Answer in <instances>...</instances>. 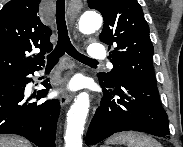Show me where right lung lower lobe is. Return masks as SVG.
Returning <instances> with one entry per match:
<instances>
[{
  "mask_svg": "<svg viewBox=\"0 0 183 147\" xmlns=\"http://www.w3.org/2000/svg\"><path fill=\"white\" fill-rule=\"evenodd\" d=\"M41 67L23 71L0 79V134H17L27 138L38 147H55L56 124L60 112L58 100L30 102L24 95L25 86L32 81L28 77ZM37 92V99L48 93Z\"/></svg>",
  "mask_w": 183,
  "mask_h": 147,
  "instance_id": "1",
  "label": "right lung lower lobe"
}]
</instances>
